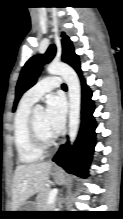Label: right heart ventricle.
Instances as JSON below:
<instances>
[{"mask_svg":"<svg viewBox=\"0 0 123 219\" xmlns=\"http://www.w3.org/2000/svg\"><path fill=\"white\" fill-rule=\"evenodd\" d=\"M32 103L21 100L14 119V143L19 160L30 164L42 158V152L33 144L29 120L32 114Z\"/></svg>","mask_w":123,"mask_h":219,"instance_id":"right-heart-ventricle-1","label":"right heart ventricle"}]
</instances>
